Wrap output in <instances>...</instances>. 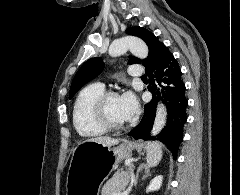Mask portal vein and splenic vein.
Wrapping results in <instances>:
<instances>
[{"instance_id":"1","label":"portal vein and splenic vein","mask_w":240,"mask_h":195,"mask_svg":"<svg viewBox=\"0 0 240 195\" xmlns=\"http://www.w3.org/2000/svg\"><path fill=\"white\" fill-rule=\"evenodd\" d=\"M132 181H133V179H132ZM115 195H122V193H115Z\"/></svg>"}]
</instances>
